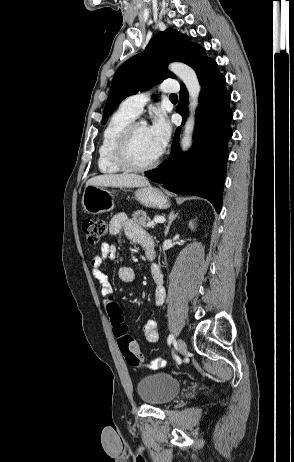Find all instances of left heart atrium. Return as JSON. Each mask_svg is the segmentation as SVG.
<instances>
[{
  "instance_id": "39dd6f15",
  "label": "left heart atrium",
  "mask_w": 294,
  "mask_h": 462,
  "mask_svg": "<svg viewBox=\"0 0 294 462\" xmlns=\"http://www.w3.org/2000/svg\"><path fill=\"white\" fill-rule=\"evenodd\" d=\"M149 133L155 143L159 153H161L168 144L171 128L164 116H157L152 125L148 127Z\"/></svg>"
}]
</instances>
